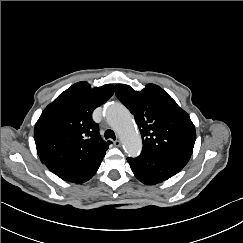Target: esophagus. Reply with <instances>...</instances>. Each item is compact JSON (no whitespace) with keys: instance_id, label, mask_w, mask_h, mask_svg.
I'll use <instances>...</instances> for the list:
<instances>
[{"instance_id":"esophagus-1","label":"esophagus","mask_w":243,"mask_h":243,"mask_svg":"<svg viewBox=\"0 0 243 243\" xmlns=\"http://www.w3.org/2000/svg\"><path fill=\"white\" fill-rule=\"evenodd\" d=\"M114 145H115L116 147H120V146H121V141H120V140H116V141L114 142Z\"/></svg>"}]
</instances>
